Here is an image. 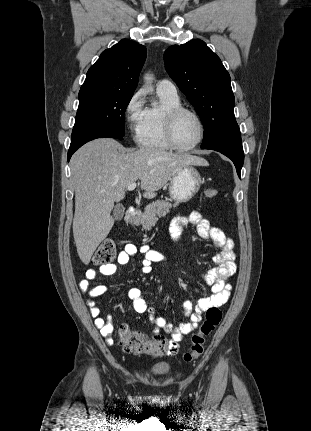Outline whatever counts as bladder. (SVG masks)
I'll list each match as a JSON object with an SVG mask.
<instances>
[{
    "instance_id": "31cf9c89",
    "label": "bladder",
    "mask_w": 311,
    "mask_h": 431,
    "mask_svg": "<svg viewBox=\"0 0 311 431\" xmlns=\"http://www.w3.org/2000/svg\"><path fill=\"white\" fill-rule=\"evenodd\" d=\"M171 366L167 363H160L153 365L150 368V372L157 376H165L168 375L171 372Z\"/></svg>"
}]
</instances>
